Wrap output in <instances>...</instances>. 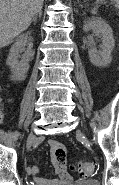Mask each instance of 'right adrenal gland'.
<instances>
[{
	"instance_id": "1",
	"label": "right adrenal gland",
	"mask_w": 119,
	"mask_h": 185,
	"mask_svg": "<svg viewBox=\"0 0 119 185\" xmlns=\"http://www.w3.org/2000/svg\"><path fill=\"white\" fill-rule=\"evenodd\" d=\"M39 16V18H41L42 16V11H39L37 14H35V16L33 17L32 21L35 23L37 20V17Z\"/></svg>"
}]
</instances>
